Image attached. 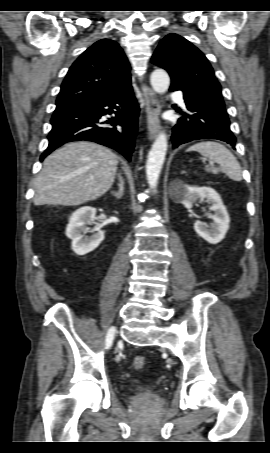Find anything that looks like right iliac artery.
Returning <instances> with one entry per match:
<instances>
[{
	"label": "right iliac artery",
	"instance_id": "obj_1",
	"mask_svg": "<svg viewBox=\"0 0 270 453\" xmlns=\"http://www.w3.org/2000/svg\"><path fill=\"white\" fill-rule=\"evenodd\" d=\"M114 334H115V328L114 327H111L107 333V343L110 345L113 341V338H114Z\"/></svg>",
	"mask_w": 270,
	"mask_h": 453
}]
</instances>
